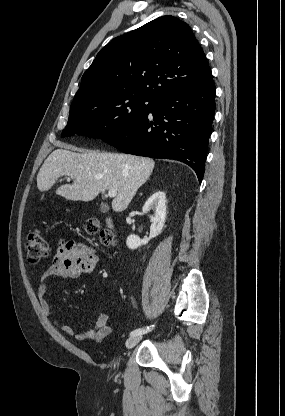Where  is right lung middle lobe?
<instances>
[{"label":"right lung middle lobe","instance_id":"1","mask_svg":"<svg viewBox=\"0 0 285 416\" xmlns=\"http://www.w3.org/2000/svg\"><path fill=\"white\" fill-rule=\"evenodd\" d=\"M156 104L142 97H122L71 110L62 137L77 134L103 140L140 121Z\"/></svg>","mask_w":285,"mask_h":416}]
</instances>
